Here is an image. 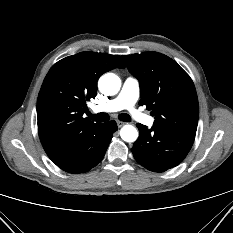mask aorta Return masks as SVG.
<instances>
[{
	"mask_svg": "<svg viewBox=\"0 0 233 233\" xmlns=\"http://www.w3.org/2000/svg\"><path fill=\"white\" fill-rule=\"evenodd\" d=\"M98 86L103 94L115 95L120 90L121 80L117 75L107 73L100 77ZM120 136L126 142H134L138 138V131L132 125H125L120 130Z\"/></svg>",
	"mask_w": 233,
	"mask_h": 233,
	"instance_id": "aorta-1",
	"label": "aorta"
}]
</instances>
